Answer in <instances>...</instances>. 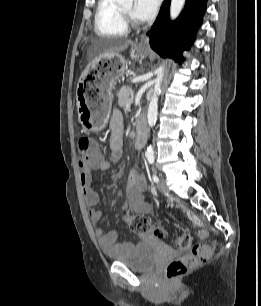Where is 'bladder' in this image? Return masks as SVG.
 I'll return each instance as SVG.
<instances>
[{"label":"bladder","instance_id":"obj_1","mask_svg":"<svg viewBox=\"0 0 261 306\" xmlns=\"http://www.w3.org/2000/svg\"><path fill=\"white\" fill-rule=\"evenodd\" d=\"M107 259L126 265L136 271L151 269L158 260L156 249L151 241L143 239L124 254H108Z\"/></svg>","mask_w":261,"mask_h":306}]
</instances>
